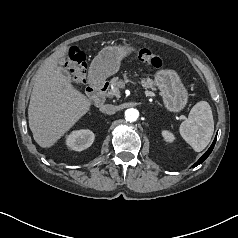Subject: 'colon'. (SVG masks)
Segmentation results:
<instances>
[{"instance_id": "colon-1", "label": "colon", "mask_w": 238, "mask_h": 238, "mask_svg": "<svg viewBox=\"0 0 238 238\" xmlns=\"http://www.w3.org/2000/svg\"><path fill=\"white\" fill-rule=\"evenodd\" d=\"M138 59L142 62L150 64L154 68H160L163 65V60L160 54L153 52L148 48H143L138 52ZM63 61L70 70L75 82L82 84L85 80L87 70L84 53L77 49H70L63 56Z\"/></svg>"}]
</instances>
